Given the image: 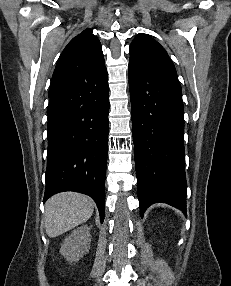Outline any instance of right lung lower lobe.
I'll list each match as a JSON object with an SVG mask.
<instances>
[{
	"label": "right lung lower lobe",
	"instance_id": "98d812e1",
	"mask_svg": "<svg viewBox=\"0 0 231 286\" xmlns=\"http://www.w3.org/2000/svg\"><path fill=\"white\" fill-rule=\"evenodd\" d=\"M108 113L107 71L50 98L44 202L62 191L87 194L103 222Z\"/></svg>",
	"mask_w": 231,
	"mask_h": 286
}]
</instances>
